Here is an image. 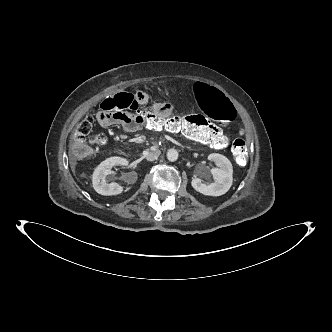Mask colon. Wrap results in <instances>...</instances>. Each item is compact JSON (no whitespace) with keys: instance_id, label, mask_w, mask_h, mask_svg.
<instances>
[{"instance_id":"1","label":"colon","mask_w":332,"mask_h":332,"mask_svg":"<svg viewBox=\"0 0 332 332\" xmlns=\"http://www.w3.org/2000/svg\"><path fill=\"white\" fill-rule=\"evenodd\" d=\"M190 95L195 100L199 112L211 119L208 121L200 115H173L166 117L154 115L152 110H143L138 106L136 94L120 92L112 95L101 103L100 110L108 109L112 112L131 110L141 115L142 123L151 133L168 131L181 133L191 140L212 145L217 149L228 146V138L220 132L219 127L232 125L238 117V108L231 98L218 87L208 85L204 81L195 82L190 88ZM94 118L86 116L75 130L72 138V150L75 156L88 155L90 146H100L106 143L107 137L103 133L95 134L92 131ZM217 125V126H216ZM232 152L239 165L246 163L248 148L242 137L236 138L232 143Z\"/></svg>"}]
</instances>
